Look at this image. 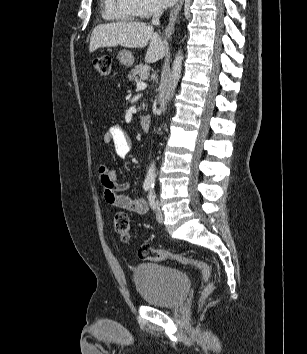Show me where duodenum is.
Masks as SVG:
<instances>
[{
    "label": "duodenum",
    "instance_id": "obj_1",
    "mask_svg": "<svg viewBox=\"0 0 307 354\" xmlns=\"http://www.w3.org/2000/svg\"><path fill=\"white\" fill-rule=\"evenodd\" d=\"M151 122H152V119H151L150 115H143L140 118V126L144 131H148L150 129Z\"/></svg>",
    "mask_w": 307,
    "mask_h": 354
}]
</instances>
